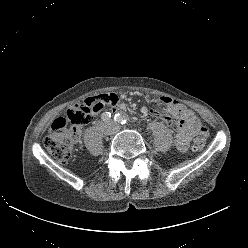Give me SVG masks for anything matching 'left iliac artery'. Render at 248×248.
<instances>
[{"mask_svg":"<svg viewBox=\"0 0 248 248\" xmlns=\"http://www.w3.org/2000/svg\"><path fill=\"white\" fill-rule=\"evenodd\" d=\"M114 120L121 123V124H129V119L125 116V115H122V114H115L114 116Z\"/></svg>","mask_w":248,"mask_h":248,"instance_id":"left-iliac-artery-1","label":"left iliac artery"}]
</instances>
